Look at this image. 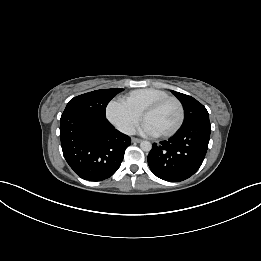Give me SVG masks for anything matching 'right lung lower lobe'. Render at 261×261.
<instances>
[{
    "instance_id": "98d812e1",
    "label": "right lung lower lobe",
    "mask_w": 261,
    "mask_h": 261,
    "mask_svg": "<svg viewBox=\"0 0 261 261\" xmlns=\"http://www.w3.org/2000/svg\"><path fill=\"white\" fill-rule=\"evenodd\" d=\"M60 139L64 157L73 171L85 180L101 181L120 167L130 137L103 117L81 112H63Z\"/></svg>"
}]
</instances>
